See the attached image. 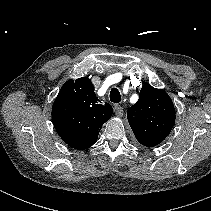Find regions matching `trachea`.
Wrapping results in <instances>:
<instances>
[{
    "label": "trachea",
    "instance_id": "obj_1",
    "mask_svg": "<svg viewBox=\"0 0 211 211\" xmlns=\"http://www.w3.org/2000/svg\"><path fill=\"white\" fill-rule=\"evenodd\" d=\"M110 101L113 103H119L121 101V94L118 89H116V88L111 89Z\"/></svg>",
    "mask_w": 211,
    "mask_h": 211
}]
</instances>
